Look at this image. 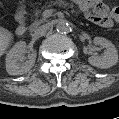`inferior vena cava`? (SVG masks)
<instances>
[{
  "mask_svg": "<svg viewBox=\"0 0 119 119\" xmlns=\"http://www.w3.org/2000/svg\"><path fill=\"white\" fill-rule=\"evenodd\" d=\"M50 28H51V25H50V24H44V25L38 27V28L35 30V34H37V35L43 34V33H45L47 30H49Z\"/></svg>",
  "mask_w": 119,
  "mask_h": 119,
  "instance_id": "inferior-vena-cava-1",
  "label": "inferior vena cava"
}]
</instances>
